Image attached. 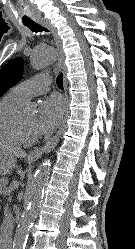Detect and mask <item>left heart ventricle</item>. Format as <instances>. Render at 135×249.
<instances>
[{
	"label": "left heart ventricle",
	"instance_id": "left-heart-ventricle-1",
	"mask_svg": "<svg viewBox=\"0 0 135 249\" xmlns=\"http://www.w3.org/2000/svg\"><path fill=\"white\" fill-rule=\"evenodd\" d=\"M35 114L32 112H26V111H22L21 112V116H20V120L21 123L23 125V127L25 128V130L27 132H29L30 134H36V130H35Z\"/></svg>",
	"mask_w": 135,
	"mask_h": 249
}]
</instances>
